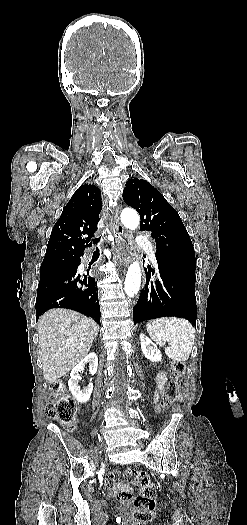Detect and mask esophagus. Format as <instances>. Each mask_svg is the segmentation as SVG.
I'll list each match as a JSON object with an SVG mask.
<instances>
[{
  "mask_svg": "<svg viewBox=\"0 0 247 525\" xmlns=\"http://www.w3.org/2000/svg\"><path fill=\"white\" fill-rule=\"evenodd\" d=\"M111 226H113L117 230L118 235L120 237L124 236V227L118 222V210H114L112 212ZM117 249L119 250L122 265L124 267L128 266V268H133V263H129L131 253L130 247L124 242H122V240H119L117 242ZM138 273H141V270H138Z\"/></svg>",
  "mask_w": 247,
  "mask_h": 525,
  "instance_id": "34e87169",
  "label": "esophagus"
}]
</instances>
